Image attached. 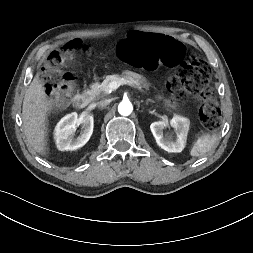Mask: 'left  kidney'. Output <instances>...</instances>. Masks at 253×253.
<instances>
[{
    "instance_id": "left-kidney-1",
    "label": "left kidney",
    "mask_w": 253,
    "mask_h": 253,
    "mask_svg": "<svg viewBox=\"0 0 253 253\" xmlns=\"http://www.w3.org/2000/svg\"><path fill=\"white\" fill-rule=\"evenodd\" d=\"M189 124L190 122L187 118L175 115L170 122L158 121L152 123L150 129L157 144L162 149L170 153H179L185 147ZM168 126H171L174 132L164 136L163 129Z\"/></svg>"
}]
</instances>
